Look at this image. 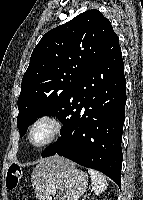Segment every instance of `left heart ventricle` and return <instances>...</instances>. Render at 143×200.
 Wrapping results in <instances>:
<instances>
[{"instance_id": "b2bd125f", "label": "left heart ventricle", "mask_w": 143, "mask_h": 200, "mask_svg": "<svg viewBox=\"0 0 143 200\" xmlns=\"http://www.w3.org/2000/svg\"><path fill=\"white\" fill-rule=\"evenodd\" d=\"M51 127L48 124H41L34 130L32 134V141L34 144L41 143L44 141L50 134Z\"/></svg>"}]
</instances>
